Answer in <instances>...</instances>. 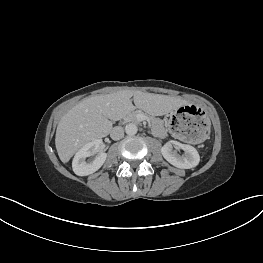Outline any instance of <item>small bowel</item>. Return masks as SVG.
<instances>
[{"instance_id": "1", "label": "small bowel", "mask_w": 263, "mask_h": 263, "mask_svg": "<svg viewBox=\"0 0 263 263\" xmlns=\"http://www.w3.org/2000/svg\"><path fill=\"white\" fill-rule=\"evenodd\" d=\"M155 131H156V133L159 134V135H162V134H163V130H162V128H161V126H160L159 124H156V125H155Z\"/></svg>"}]
</instances>
